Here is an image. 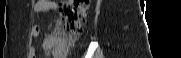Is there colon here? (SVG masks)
<instances>
[{"mask_svg":"<svg viewBox=\"0 0 181 58\" xmlns=\"http://www.w3.org/2000/svg\"><path fill=\"white\" fill-rule=\"evenodd\" d=\"M89 5V0H66L60 3L58 29L48 39V49L54 54L65 57L79 39Z\"/></svg>","mask_w":181,"mask_h":58,"instance_id":"1","label":"colon"}]
</instances>
